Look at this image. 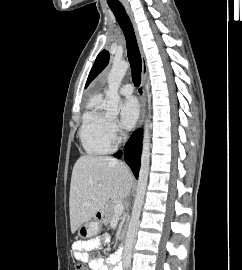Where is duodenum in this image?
I'll list each match as a JSON object with an SVG mask.
<instances>
[{
	"mask_svg": "<svg viewBox=\"0 0 242 270\" xmlns=\"http://www.w3.org/2000/svg\"><path fill=\"white\" fill-rule=\"evenodd\" d=\"M119 239H120L121 243H125L126 242V234L125 233H121Z\"/></svg>",
	"mask_w": 242,
	"mask_h": 270,
	"instance_id": "duodenum-1",
	"label": "duodenum"
}]
</instances>
